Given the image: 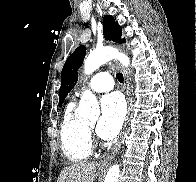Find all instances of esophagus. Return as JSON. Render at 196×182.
I'll use <instances>...</instances> for the list:
<instances>
[{
	"instance_id": "obj_1",
	"label": "esophagus",
	"mask_w": 196,
	"mask_h": 182,
	"mask_svg": "<svg viewBox=\"0 0 196 182\" xmlns=\"http://www.w3.org/2000/svg\"><path fill=\"white\" fill-rule=\"evenodd\" d=\"M123 76H124V90H125V95H126V99H127V104H128V112H127V116L125 119V123L121 132V136L119 141L116 143V145L112 148L111 152L109 155H107L103 160H101L99 162V166L103 167V166H107L111 163V161L113 160V158L115 157L116 153L118 152L121 143H122V139L123 136L126 132L127 129V124H128V120H129V115H130V107H131V102H130V91H129V82H128V78H127V74H126V70L123 68V66H120Z\"/></svg>"
}]
</instances>
